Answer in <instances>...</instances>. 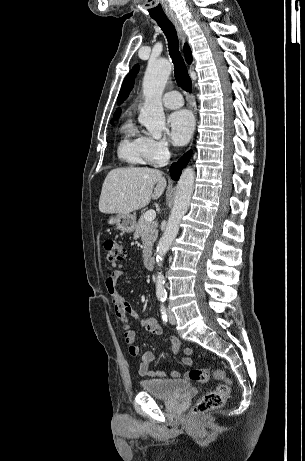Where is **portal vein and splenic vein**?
<instances>
[{
  "label": "portal vein and splenic vein",
  "mask_w": 305,
  "mask_h": 461,
  "mask_svg": "<svg viewBox=\"0 0 305 461\" xmlns=\"http://www.w3.org/2000/svg\"><path fill=\"white\" fill-rule=\"evenodd\" d=\"M156 217V212L154 210H148L144 214V219L147 221H153Z\"/></svg>",
  "instance_id": "1"
}]
</instances>
